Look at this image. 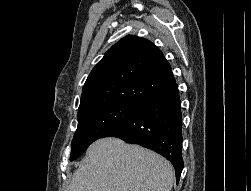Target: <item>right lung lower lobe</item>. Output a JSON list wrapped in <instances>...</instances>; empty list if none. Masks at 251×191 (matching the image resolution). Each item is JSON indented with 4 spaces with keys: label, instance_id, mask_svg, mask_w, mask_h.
<instances>
[{
    "label": "right lung lower lobe",
    "instance_id": "right-lung-lower-lobe-1",
    "mask_svg": "<svg viewBox=\"0 0 251 191\" xmlns=\"http://www.w3.org/2000/svg\"><path fill=\"white\" fill-rule=\"evenodd\" d=\"M103 137H117L164 156L173 164L178 183L184 167L181 155L182 112L178 85L175 83L148 100Z\"/></svg>",
    "mask_w": 251,
    "mask_h": 191
}]
</instances>
